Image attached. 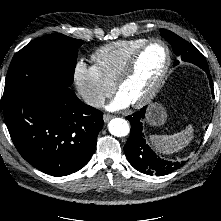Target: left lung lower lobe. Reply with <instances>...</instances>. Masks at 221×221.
Here are the masks:
<instances>
[{"mask_svg":"<svg viewBox=\"0 0 221 221\" xmlns=\"http://www.w3.org/2000/svg\"><path fill=\"white\" fill-rule=\"evenodd\" d=\"M205 71V70H204ZM210 80V87L214 98L213 82L209 70L205 71ZM146 107L140 111L133 113L126 118L131 123L130 137L124 146L125 155L129 163L139 172L147 175L163 176L169 174L186 163L170 162L158 157L146 142L143 130V119Z\"/></svg>","mask_w":221,"mask_h":221,"instance_id":"obj_1","label":"left lung lower lobe"}]
</instances>
